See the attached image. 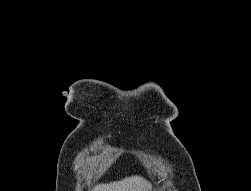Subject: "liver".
Segmentation results:
<instances>
[{"label": "liver", "mask_w": 251, "mask_h": 191, "mask_svg": "<svg viewBox=\"0 0 251 191\" xmlns=\"http://www.w3.org/2000/svg\"><path fill=\"white\" fill-rule=\"evenodd\" d=\"M150 181L141 175H131L124 177L121 181H111V183H100L95 185L90 191H151Z\"/></svg>", "instance_id": "liver-1"}]
</instances>
